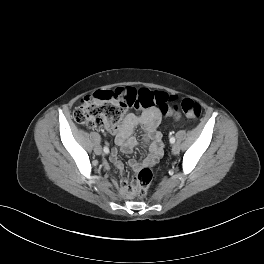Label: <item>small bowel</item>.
I'll return each mask as SVG.
<instances>
[{"label":"small bowel","mask_w":264,"mask_h":264,"mask_svg":"<svg viewBox=\"0 0 264 264\" xmlns=\"http://www.w3.org/2000/svg\"><path fill=\"white\" fill-rule=\"evenodd\" d=\"M171 115L174 119H180L177 112H172ZM161 120V114L157 109H147L140 114L130 113L126 116L124 122L120 126L109 127V131L116 136V143L124 152H129L137 146V140L132 137L134 128L141 125L145 132V141L150 143L149 154L142 163L131 161L130 165L133 170L137 171L143 167L154 166L157 160L163 153V145L161 135L157 131V126ZM113 164L122 169V162L118 158V153L113 152L111 156ZM120 194L123 197H130V189L127 180H123L120 187Z\"/></svg>","instance_id":"obj_1"}]
</instances>
